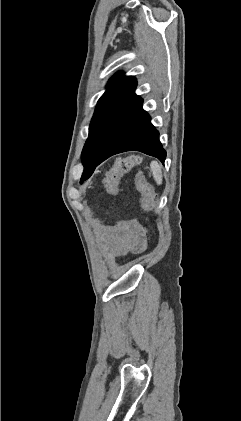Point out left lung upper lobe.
<instances>
[{"instance_id":"obj_1","label":"left lung upper lobe","mask_w":241,"mask_h":421,"mask_svg":"<svg viewBox=\"0 0 241 421\" xmlns=\"http://www.w3.org/2000/svg\"><path fill=\"white\" fill-rule=\"evenodd\" d=\"M137 82L133 76L116 73L105 93L99 99L91 124L89 137L82 151L84 167L94 163L102 153L119 117L134 94Z\"/></svg>"}]
</instances>
